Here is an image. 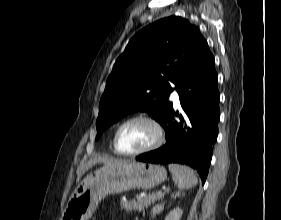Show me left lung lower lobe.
Masks as SVG:
<instances>
[{
    "label": "left lung lower lobe",
    "instance_id": "left-lung-lower-lobe-1",
    "mask_svg": "<svg viewBox=\"0 0 281 220\" xmlns=\"http://www.w3.org/2000/svg\"><path fill=\"white\" fill-rule=\"evenodd\" d=\"M181 107L186 114L180 121L172 110L164 130L166 144L154 151L139 155L137 161L150 163L177 162L196 169L205 183L217 140L220 95L215 60L208 49L196 59L176 88Z\"/></svg>",
    "mask_w": 281,
    "mask_h": 220
}]
</instances>
